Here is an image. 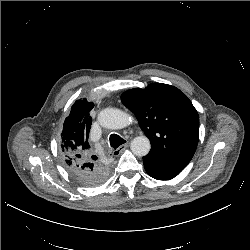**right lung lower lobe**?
Returning <instances> with one entry per match:
<instances>
[{
	"label": "right lung lower lobe",
	"mask_w": 250,
	"mask_h": 250,
	"mask_svg": "<svg viewBox=\"0 0 250 250\" xmlns=\"http://www.w3.org/2000/svg\"><path fill=\"white\" fill-rule=\"evenodd\" d=\"M69 173L82 185L84 186H97L106 181L109 176V172L107 171H97V172H89V171H77L74 169L68 168Z\"/></svg>",
	"instance_id": "98d812e1"
}]
</instances>
